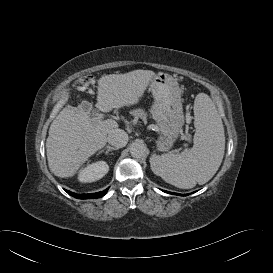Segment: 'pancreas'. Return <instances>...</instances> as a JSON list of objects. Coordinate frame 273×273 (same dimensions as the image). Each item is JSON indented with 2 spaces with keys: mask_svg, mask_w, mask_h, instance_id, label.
<instances>
[{
  "mask_svg": "<svg viewBox=\"0 0 273 273\" xmlns=\"http://www.w3.org/2000/svg\"><path fill=\"white\" fill-rule=\"evenodd\" d=\"M130 113L135 118H141L143 121H146L147 119V113L143 109H135L132 110Z\"/></svg>",
  "mask_w": 273,
  "mask_h": 273,
  "instance_id": "obj_1",
  "label": "pancreas"
}]
</instances>
